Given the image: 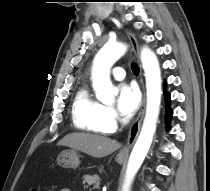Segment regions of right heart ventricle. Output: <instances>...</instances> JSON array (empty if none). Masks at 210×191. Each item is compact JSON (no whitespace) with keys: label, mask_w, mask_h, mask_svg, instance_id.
Masks as SVG:
<instances>
[{"label":"right heart ventricle","mask_w":210,"mask_h":191,"mask_svg":"<svg viewBox=\"0 0 210 191\" xmlns=\"http://www.w3.org/2000/svg\"><path fill=\"white\" fill-rule=\"evenodd\" d=\"M72 116L75 126L88 133L108 134L115 129L107 107L95 99L86 86L80 88L74 98Z\"/></svg>","instance_id":"e07e8e85"}]
</instances>
